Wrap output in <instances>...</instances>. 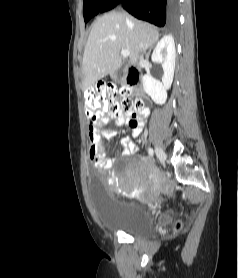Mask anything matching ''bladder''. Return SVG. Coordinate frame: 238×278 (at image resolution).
<instances>
[{"mask_svg":"<svg viewBox=\"0 0 238 278\" xmlns=\"http://www.w3.org/2000/svg\"><path fill=\"white\" fill-rule=\"evenodd\" d=\"M95 179L94 175L90 176ZM92 199L102 227L109 232H122L134 238H147L165 227L169 218L165 214H153L139 204H120L116 197L108 196L102 181H90Z\"/></svg>","mask_w":238,"mask_h":278,"instance_id":"1","label":"bladder"}]
</instances>
